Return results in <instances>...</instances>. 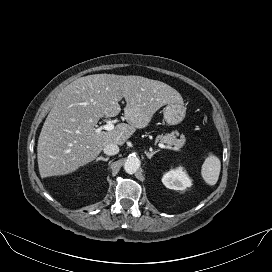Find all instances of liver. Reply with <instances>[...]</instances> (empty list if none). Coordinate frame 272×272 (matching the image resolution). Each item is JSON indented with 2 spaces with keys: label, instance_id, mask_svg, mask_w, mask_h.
<instances>
[{
  "label": "liver",
  "instance_id": "obj_1",
  "mask_svg": "<svg viewBox=\"0 0 272 272\" xmlns=\"http://www.w3.org/2000/svg\"><path fill=\"white\" fill-rule=\"evenodd\" d=\"M122 98L128 124L97 133L100 118L120 113ZM173 102H183L179 92L158 80L106 73L78 78L58 94L42 127L37 146L40 176L72 173L107 144L122 146L136 129L148 126L158 109Z\"/></svg>",
  "mask_w": 272,
  "mask_h": 272
}]
</instances>
